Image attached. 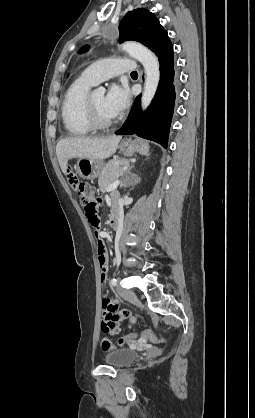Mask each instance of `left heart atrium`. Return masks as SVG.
I'll use <instances>...</instances> for the list:
<instances>
[{
    "mask_svg": "<svg viewBox=\"0 0 255 418\" xmlns=\"http://www.w3.org/2000/svg\"><path fill=\"white\" fill-rule=\"evenodd\" d=\"M129 104V92L125 87L112 85L104 97V110L109 117L115 118L121 114Z\"/></svg>",
    "mask_w": 255,
    "mask_h": 418,
    "instance_id": "obj_1",
    "label": "left heart atrium"
}]
</instances>
